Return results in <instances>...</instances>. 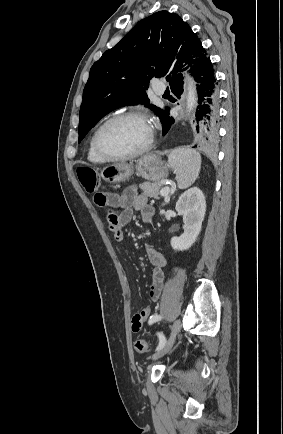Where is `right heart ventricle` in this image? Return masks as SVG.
<instances>
[{
    "instance_id": "right-heart-ventricle-1",
    "label": "right heart ventricle",
    "mask_w": 283,
    "mask_h": 434,
    "mask_svg": "<svg viewBox=\"0 0 283 434\" xmlns=\"http://www.w3.org/2000/svg\"><path fill=\"white\" fill-rule=\"evenodd\" d=\"M87 156L90 162L95 164H103L107 162L105 159H103L95 150L93 145V136L90 138L89 145H88V151Z\"/></svg>"
}]
</instances>
